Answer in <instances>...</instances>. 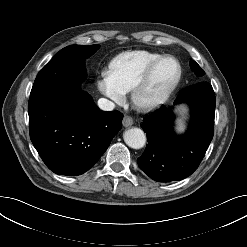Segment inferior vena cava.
Returning a JSON list of instances; mask_svg holds the SVG:
<instances>
[{"label":"inferior vena cava","mask_w":247,"mask_h":247,"mask_svg":"<svg viewBox=\"0 0 247 247\" xmlns=\"http://www.w3.org/2000/svg\"><path fill=\"white\" fill-rule=\"evenodd\" d=\"M98 107L104 111H112L115 108V104L108 99L100 98L98 100Z\"/></svg>","instance_id":"inferior-vena-cava-1"}]
</instances>
